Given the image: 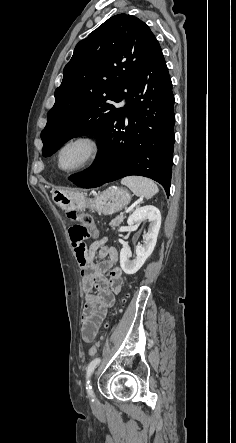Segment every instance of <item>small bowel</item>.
Returning <instances> with one entry per match:
<instances>
[{"label": "small bowel", "instance_id": "small-bowel-1", "mask_svg": "<svg viewBox=\"0 0 236 443\" xmlns=\"http://www.w3.org/2000/svg\"><path fill=\"white\" fill-rule=\"evenodd\" d=\"M77 263L79 265L85 304L82 313V337L90 342L97 336L107 310L113 306L115 295L123 286V273L117 262L119 252L116 247L105 245L106 239L102 238L93 242L88 248L80 249L84 242L73 240ZM98 255L101 262L94 261ZM108 271V277L103 276ZM96 289L97 293L93 290Z\"/></svg>", "mask_w": 236, "mask_h": 443}]
</instances>
